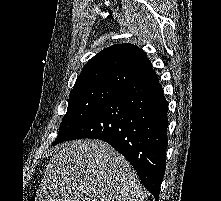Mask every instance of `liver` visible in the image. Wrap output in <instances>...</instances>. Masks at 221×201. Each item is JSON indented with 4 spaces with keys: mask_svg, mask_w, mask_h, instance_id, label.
<instances>
[{
    "mask_svg": "<svg viewBox=\"0 0 221 201\" xmlns=\"http://www.w3.org/2000/svg\"><path fill=\"white\" fill-rule=\"evenodd\" d=\"M40 201H144L131 164L101 140H75L54 150Z\"/></svg>",
    "mask_w": 221,
    "mask_h": 201,
    "instance_id": "obj_1",
    "label": "liver"
}]
</instances>
